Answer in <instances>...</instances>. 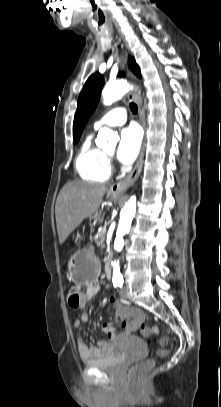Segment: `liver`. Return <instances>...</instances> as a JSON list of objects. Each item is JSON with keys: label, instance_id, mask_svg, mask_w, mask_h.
Returning a JSON list of instances; mask_svg holds the SVG:
<instances>
[{"label": "liver", "instance_id": "obj_1", "mask_svg": "<svg viewBox=\"0 0 221 407\" xmlns=\"http://www.w3.org/2000/svg\"><path fill=\"white\" fill-rule=\"evenodd\" d=\"M106 191L104 185L82 181L68 182L63 186L55 205L60 244L85 218L97 213Z\"/></svg>", "mask_w": 221, "mask_h": 407}]
</instances>
